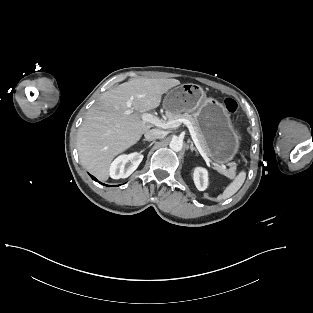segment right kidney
Wrapping results in <instances>:
<instances>
[{
  "label": "right kidney",
  "mask_w": 313,
  "mask_h": 313,
  "mask_svg": "<svg viewBox=\"0 0 313 313\" xmlns=\"http://www.w3.org/2000/svg\"><path fill=\"white\" fill-rule=\"evenodd\" d=\"M143 160L140 153L123 154L118 156L110 165L109 175L113 179L129 177Z\"/></svg>",
  "instance_id": "obj_1"
}]
</instances>
